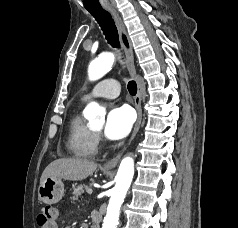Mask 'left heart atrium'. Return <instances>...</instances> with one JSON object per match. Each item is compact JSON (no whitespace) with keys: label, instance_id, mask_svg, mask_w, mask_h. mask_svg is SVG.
Segmentation results:
<instances>
[{"label":"left heart atrium","instance_id":"39dd6f15","mask_svg":"<svg viewBox=\"0 0 238 228\" xmlns=\"http://www.w3.org/2000/svg\"><path fill=\"white\" fill-rule=\"evenodd\" d=\"M134 123V113L128 106L112 107L106 117L104 135L109 140L126 137Z\"/></svg>","mask_w":238,"mask_h":228}]
</instances>
